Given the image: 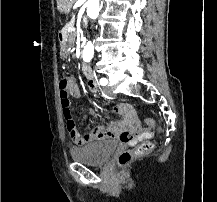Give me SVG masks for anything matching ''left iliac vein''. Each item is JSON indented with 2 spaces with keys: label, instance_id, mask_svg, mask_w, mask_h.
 <instances>
[{
  "label": "left iliac vein",
  "instance_id": "obj_1",
  "mask_svg": "<svg viewBox=\"0 0 217 202\" xmlns=\"http://www.w3.org/2000/svg\"><path fill=\"white\" fill-rule=\"evenodd\" d=\"M104 93L108 96H113V90L109 86L104 87Z\"/></svg>",
  "mask_w": 217,
  "mask_h": 202
}]
</instances>
